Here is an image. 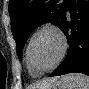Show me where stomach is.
Wrapping results in <instances>:
<instances>
[{
  "instance_id": "obj_1",
  "label": "stomach",
  "mask_w": 89,
  "mask_h": 89,
  "mask_svg": "<svg viewBox=\"0 0 89 89\" xmlns=\"http://www.w3.org/2000/svg\"><path fill=\"white\" fill-rule=\"evenodd\" d=\"M46 89H68V86L62 80L57 81L56 83L48 86Z\"/></svg>"
}]
</instances>
